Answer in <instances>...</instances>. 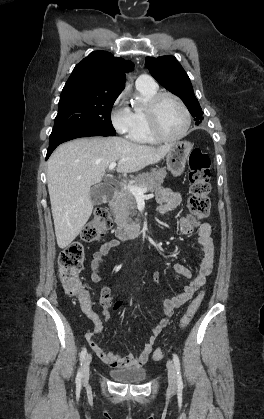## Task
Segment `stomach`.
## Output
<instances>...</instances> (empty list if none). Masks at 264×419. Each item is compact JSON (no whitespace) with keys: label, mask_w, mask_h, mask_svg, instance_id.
I'll list each match as a JSON object with an SVG mask.
<instances>
[{"label":"stomach","mask_w":264,"mask_h":419,"mask_svg":"<svg viewBox=\"0 0 264 419\" xmlns=\"http://www.w3.org/2000/svg\"><path fill=\"white\" fill-rule=\"evenodd\" d=\"M192 148V144L188 141H179L172 144L166 157V163L167 168L174 176L183 173Z\"/></svg>","instance_id":"obj_1"}]
</instances>
